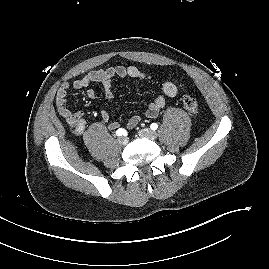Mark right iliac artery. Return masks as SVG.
I'll return each instance as SVG.
<instances>
[{"label":"right iliac artery","mask_w":269,"mask_h":269,"mask_svg":"<svg viewBox=\"0 0 269 269\" xmlns=\"http://www.w3.org/2000/svg\"><path fill=\"white\" fill-rule=\"evenodd\" d=\"M126 134V131L122 128H119L117 131H116V135L117 136H122V135H125Z\"/></svg>","instance_id":"82829eb1"}]
</instances>
